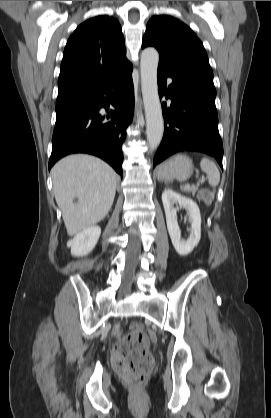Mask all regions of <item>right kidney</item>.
I'll return each mask as SVG.
<instances>
[{
	"label": "right kidney",
	"mask_w": 271,
	"mask_h": 418,
	"mask_svg": "<svg viewBox=\"0 0 271 418\" xmlns=\"http://www.w3.org/2000/svg\"><path fill=\"white\" fill-rule=\"evenodd\" d=\"M101 234L99 226H91L67 242V246L71 248L73 256H85L90 253L98 242Z\"/></svg>",
	"instance_id": "obj_1"
}]
</instances>
